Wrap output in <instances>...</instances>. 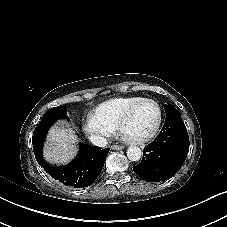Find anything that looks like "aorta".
Listing matches in <instances>:
<instances>
[{"label": "aorta", "instance_id": "obj_1", "mask_svg": "<svg viewBox=\"0 0 227 227\" xmlns=\"http://www.w3.org/2000/svg\"><path fill=\"white\" fill-rule=\"evenodd\" d=\"M142 156V151L138 146H130L127 149V157L129 160L136 162L139 161Z\"/></svg>", "mask_w": 227, "mask_h": 227}]
</instances>
